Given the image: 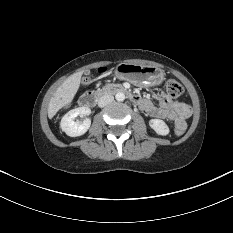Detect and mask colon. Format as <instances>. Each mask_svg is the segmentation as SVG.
<instances>
[{"label": "colon", "instance_id": "colon-1", "mask_svg": "<svg viewBox=\"0 0 233 233\" xmlns=\"http://www.w3.org/2000/svg\"><path fill=\"white\" fill-rule=\"evenodd\" d=\"M166 92L172 98H177L184 93L183 86L174 78H170L167 80L166 85ZM185 131L182 127H175V132L177 135L183 134Z\"/></svg>", "mask_w": 233, "mask_h": 233}]
</instances>
